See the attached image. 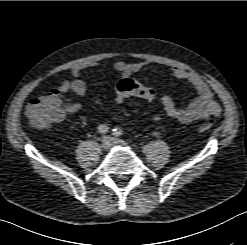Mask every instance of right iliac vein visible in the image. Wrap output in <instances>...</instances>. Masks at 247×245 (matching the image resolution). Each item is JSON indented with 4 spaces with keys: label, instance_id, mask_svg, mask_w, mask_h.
I'll use <instances>...</instances> for the list:
<instances>
[{
    "label": "right iliac vein",
    "instance_id": "1",
    "mask_svg": "<svg viewBox=\"0 0 247 245\" xmlns=\"http://www.w3.org/2000/svg\"><path fill=\"white\" fill-rule=\"evenodd\" d=\"M112 145L111 137H104L101 141V148L103 150H109Z\"/></svg>",
    "mask_w": 247,
    "mask_h": 245
}]
</instances>
